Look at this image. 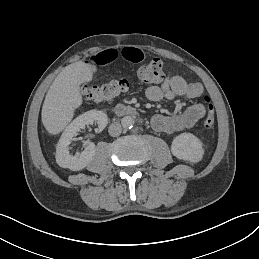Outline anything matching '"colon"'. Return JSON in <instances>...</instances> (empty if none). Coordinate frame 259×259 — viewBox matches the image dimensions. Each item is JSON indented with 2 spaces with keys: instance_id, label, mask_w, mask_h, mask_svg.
Instances as JSON below:
<instances>
[{
  "instance_id": "obj_1",
  "label": "colon",
  "mask_w": 259,
  "mask_h": 259,
  "mask_svg": "<svg viewBox=\"0 0 259 259\" xmlns=\"http://www.w3.org/2000/svg\"><path fill=\"white\" fill-rule=\"evenodd\" d=\"M137 76L141 84H160L165 79L162 61L155 58L149 63L141 66ZM130 87L131 83L127 79H117L99 85H85L82 92L84 96L92 102H111ZM203 101L206 103L207 113L202 120V126L204 128H211L214 124L213 107L207 96L203 97Z\"/></svg>"
}]
</instances>
